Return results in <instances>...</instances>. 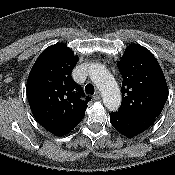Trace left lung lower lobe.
Returning <instances> with one entry per match:
<instances>
[{"mask_svg":"<svg viewBox=\"0 0 175 175\" xmlns=\"http://www.w3.org/2000/svg\"><path fill=\"white\" fill-rule=\"evenodd\" d=\"M155 119V116L149 114L127 116L119 113H110L112 126L126 137H133L144 132L155 122Z\"/></svg>","mask_w":175,"mask_h":175,"instance_id":"0a47b994","label":"left lung lower lobe"}]
</instances>
